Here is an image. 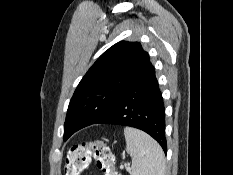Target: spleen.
I'll list each match as a JSON object with an SVG mask.
<instances>
[{"label": "spleen", "instance_id": "3e777b00", "mask_svg": "<svg viewBox=\"0 0 233 175\" xmlns=\"http://www.w3.org/2000/svg\"><path fill=\"white\" fill-rule=\"evenodd\" d=\"M124 136L132 158L130 175H165L164 152L151 136L132 127L124 129Z\"/></svg>", "mask_w": 233, "mask_h": 175}]
</instances>
